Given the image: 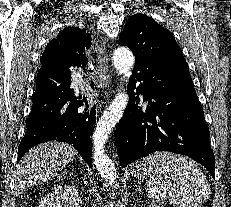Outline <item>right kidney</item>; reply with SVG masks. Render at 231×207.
I'll return each instance as SVG.
<instances>
[{"instance_id": "right-kidney-1", "label": "right kidney", "mask_w": 231, "mask_h": 207, "mask_svg": "<svg viewBox=\"0 0 231 207\" xmlns=\"http://www.w3.org/2000/svg\"><path fill=\"white\" fill-rule=\"evenodd\" d=\"M79 195L74 187L60 184L39 203V207H79Z\"/></svg>"}]
</instances>
